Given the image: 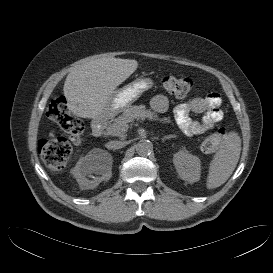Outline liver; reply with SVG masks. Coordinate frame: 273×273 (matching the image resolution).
<instances>
[{"mask_svg": "<svg viewBox=\"0 0 273 273\" xmlns=\"http://www.w3.org/2000/svg\"><path fill=\"white\" fill-rule=\"evenodd\" d=\"M138 68L134 59L100 58L73 67L63 91L68 109L83 118H109L115 89ZM54 137V132L49 133Z\"/></svg>", "mask_w": 273, "mask_h": 273, "instance_id": "liver-1", "label": "liver"}]
</instances>
